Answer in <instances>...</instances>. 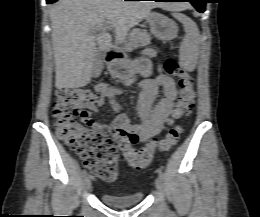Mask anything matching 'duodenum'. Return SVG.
Segmentation results:
<instances>
[{
    "label": "duodenum",
    "instance_id": "duodenum-1",
    "mask_svg": "<svg viewBox=\"0 0 260 217\" xmlns=\"http://www.w3.org/2000/svg\"><path fill=\"white\" fill-rule=\"evenodd\" d=\"M123 58V53L119 51L116 46H110L107 49L105 59L113 74L122 72Z\"/></svg>",
    "mask_w": 260,
    "mask_h": 217
}]
</instances>
